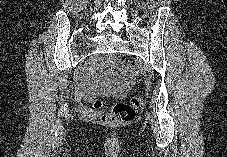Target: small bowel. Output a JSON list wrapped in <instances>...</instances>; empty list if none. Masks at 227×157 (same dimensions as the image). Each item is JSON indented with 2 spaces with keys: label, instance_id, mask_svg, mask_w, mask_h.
Returning a JSON list of instances; mask_svg holds the SVG:
<instances>
[{
  "label": "small bowel",
  "instance_id": "small-bowel-1",
  "mask_svg": "<svg viewBox=\"0 0 227 157\" xmlns=\"http://www.w3.org/2000/svg\"><path fill=\"white\" fill-rule=\"evenodd\" d=\"M113 58L106 61V70H97L95 62H91L85 69L82 82L76 86V93L79 97L89 99L92 95L123 96L133 77L130 71L124 67H112Z\"/></svg>",
  "mask_w": 227,
  "mask_h": 157
}]
</instances>
